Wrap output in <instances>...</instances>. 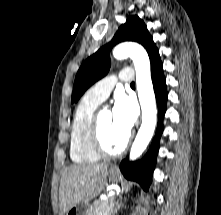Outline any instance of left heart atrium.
<instances>
[{
    "label": "left heart atrium",
    "mask_w": 221,
    "mask_h": 215,
    "mask_svg": "<svg viewBox=\"0 0 221 215\" xmlns=\"http://www.w3.org/2000/svg\"><path fill=\"white\" fill-rule=\"evenodd\" d=\"M112 113L116 129L122 135L128 137L137 118L134 101L124 94L117 95Z\"/></svg>",
    "instance_id": "39dd6f15"
}]
</instances>
